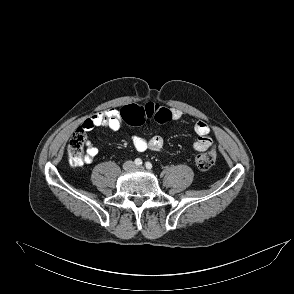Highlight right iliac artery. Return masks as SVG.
Here are the masks:
<instances>
[{
    "label": "right iliac artery",
    "mask_w": 294,
    "mask_h": 294,
    "mask_svg": "<svg viewBox=\"0 0 294 294\" xmlns=\"http://www.w3.org/2000/svg\"><path fill=\"white\" fill-rule=\"evenodd\" d=\"M135 164L137 166L141 165L142 164V160L140 158L135 159Z\"/></svg>",
    "instance_id": "right-iliac-artery-1"
}]
</instances>
